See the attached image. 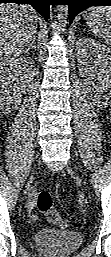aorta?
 I'll list each match as a JSON object with an SVG mask.
<instances>
[{
    "label": "aorta",
    "mask_w": 111,
    "mask_h": 257,
    "mask_svg": "<svg viewBox=\"0 0 111 257\" xmlns=\"http://www.w3.org/2000/svg\"><path fill=\"white\" fill-rule=\"evenodd\" d=\"M67 14H68V7L65 5H61L58 7V18L62 22H66L67 19Z\"/></svg>",
    "instance_id": "1"
}]
</instances>
